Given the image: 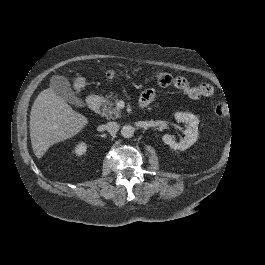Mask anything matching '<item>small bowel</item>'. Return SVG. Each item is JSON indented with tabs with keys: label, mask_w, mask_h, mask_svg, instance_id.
<instances>
[{
	"label": "small bowel",
	"mask_w": 265,
	"mask_h": 265,
	"mask_svg": "<svg viewBox=\"0 0 265 265\" xmlns=\"http://www.w3.org/2000/svg\"><path fill=\"white\" fill-rule=\"evenodd\" d=\"M174 87L183 95L191 99H199L203 97H210L214 93V88L208 83H201L198 85H191L189 81L182 76L175 77L173 80ZM156 93L153 89H146L140 96L141 106H147L154 101Z\"/></svg>",
	"instance_id": "1"
}]
</instances>
